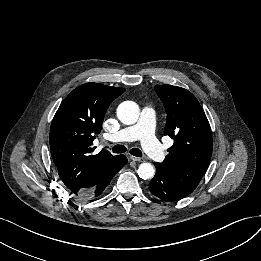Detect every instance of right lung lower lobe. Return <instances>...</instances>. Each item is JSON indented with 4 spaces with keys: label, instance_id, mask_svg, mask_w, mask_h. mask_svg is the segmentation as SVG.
<instances>
[{
    "label": "right lung lower lobe",
    "instance_id": "right-lung-lower-lobe-1",
    "mask_svg": "<svg viewBox=\"0 0 261 261\" xmlns=\"http://www.w3.org/2000/svg\"><path fill=\"white\" fill-rule=\"evenodd\" d=\"M126 163H127L126 156L124 155L116 156L106 167L99 181L92 188L87 190L79 197L84 199H92L102 195L106 191L107 186L110 184L111 179L118 173V171L122 167L126 165Z\"/></svg>",
    "mask_w": 261,
    "mask_h": 261
}]
</instances>
